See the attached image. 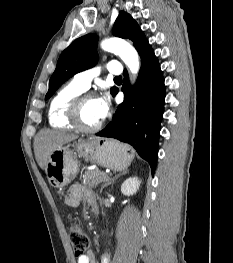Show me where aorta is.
Here are the masks:
<instances>
[{"mask_svg": "<svg viewBox=\"0 0 233 263\" xmlns=\"http://www.w3.org/2000/svg\"><path fill=\"white\" fill-rule=\"evenodd\" d=\"M101 47L105 51L118 54L132 74L136 75L138 73L140 67L139 56L129 43L120 38H110L104 40Z\"/></svg>", "mask_w": 233, "mask_h": 263, "instance_id": "aorta-1", "label": "aorta"}]
</instances>
